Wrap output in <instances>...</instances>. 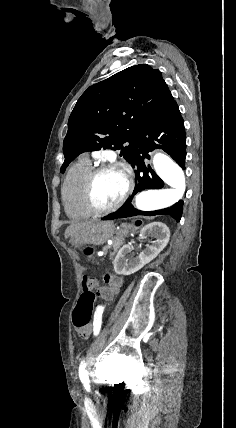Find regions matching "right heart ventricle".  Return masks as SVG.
Segmentation results:
<instances>
[{
    "label": "right heart ventricle",
    "instance_id": "obj_1",
    "mask_svg": "<svg viewBox=\"0 0 236 428\" xmlns=\"http://www.w3.org/2000/svg\"><path fill=\"white\" fill-rule=\"evenodd\" d=\"M91 169L90 160L83 157L69 169L63 180L62 198L65 209L75 219H88L95 215L85 206L82 198V185Z\"/></svg>",
    "mask_w": 236,
    "mask_h": 428
}]
</instances>
